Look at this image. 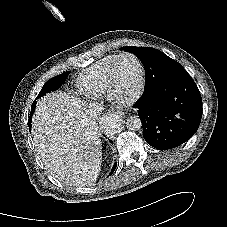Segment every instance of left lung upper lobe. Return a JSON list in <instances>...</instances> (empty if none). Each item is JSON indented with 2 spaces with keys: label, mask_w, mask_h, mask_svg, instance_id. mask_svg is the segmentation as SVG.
<instances>
[{
  "label": "left lung upper lobe",
  "mask_w": 227,
  "mask_h": 227,
  "mask_svg": "<svg viewBox=\"0 0 227 227\" xmlns=\"http://www.w3.org/2000/svg\"><path fill=\"white\" fill-rule=\"evenodd\" d=\"M122 49L134 53L142 62L146 72L145 89L165 77L185 71L177 61L157 49L134 46H125Z\"/></svg>",
  "instance_id": "obj_1"
}]
</instances>
